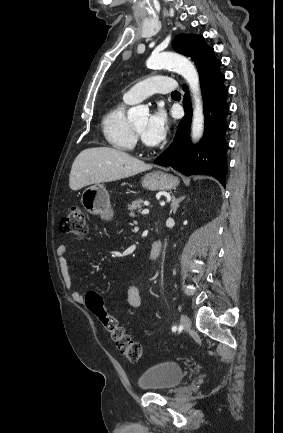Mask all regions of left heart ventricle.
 I'll use <instances>...</instances> for the list:
<instances>
[{"instance_id": "b2bd125f", "label": "left heart ventricle", "mask_w": 283, "mask_h": 433, "mask_svg": "<svg viewBox=\"0 0 283 433\" xmlns=\"http://www.w3.org/2000/svg\"><path fill=\"white\" fill-rule=\"evenodd\" d=\"M147 121H148L147 118H144L141 121L134 124L135 128L138 130L139 133L143 132V130L146 127Z\"/></svg>"}]
</instances>
